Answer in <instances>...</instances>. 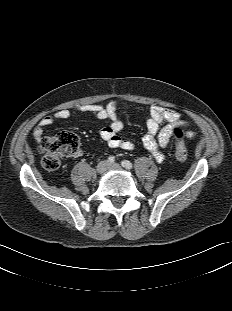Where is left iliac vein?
<instances>
[{"instance_id": "obj_1", "label": "left iliac vein", "mask_w": 232, "mask_h": 311, "mask_svg": "<svg viewBox=\"0 0 232 311\" xmlns=\"http://www.w3.org/2000/svg\"><path fill=\"white\" fill-rule=\"evenodd\" d=\"M108 169H121V165L118 163L109 164Z\"/></svg>"}]
</instances>
